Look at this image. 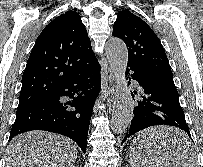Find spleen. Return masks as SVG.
Here are the masks:
<instances>
[{"instance_id": "3e777b00", "label": "spleen", "mask_w": 203, "mask_h": 167, "mask_svg": "<svg viewBox=\"0 0 203 167\" xmlns=\"http://www.w3.org/2000/svg\"><path fill=\"white\" fill-rule=\"evenodd\" d=\"M183 141L190 146L188 137H185ZM153 149L156 150L155 147ZM136 150L142 153L141 156L135 154ZM188 158L189 160H186L185 163L182 164V167H196V160L192 152L188 154ZM130 163L132 167H169L168 164L163 165L155 154L148 149L143 148L141 145H137L135 141L130 147ZM179 167H181V165H179Z\"/></svg>"}]
</instances>
